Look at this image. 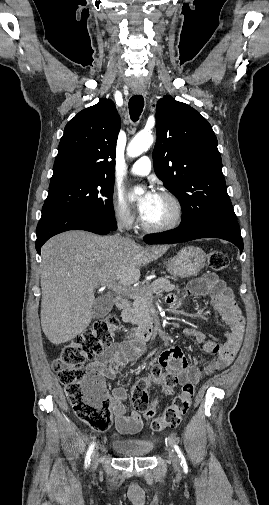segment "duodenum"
<instances>
[{
    "label": "duodenum",
    "mask_w": 269,
    "mask_h": 505,
    "mask_svg": "<svg viewBox=\"0 0 269 505\" xmlns=\"http://www.w3.org/2000/svg\"><path fill=\"white\" fill-rule=\"evenodd\" d=\"M129 301L124 296H117L115 298V306L119 310L127 308ZM155 333L154 325L152 321H147L146 323L140 325L139 327L130 329L126 332L125 338L127 341L133 344H143L144 342L153 338Z\"/></svg>",
    "instance_id": "1"
}]
</instances>
